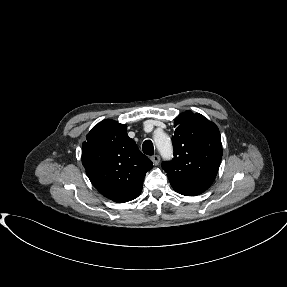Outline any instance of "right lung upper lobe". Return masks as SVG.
<instances>
[{"instance_id":"obj_1","label":"right lung upper lobe","mask_w":287,"mask_h":287,"mask_svg":"<svg viewBox=\"0 0 287 287\" xmlns=\"http://www.w3.org/2000/svg\"><path fill=\"white\" fill-rule=\"evenodd\" d=\"M127 127L103 120L87 134L82 164L94 187L117 203L135 199L153 163L126 133Z\"/></svg>"}]
</instances>
